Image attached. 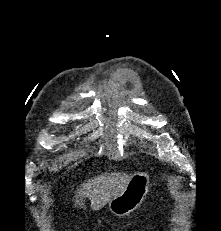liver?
<instances>
[{
  "label": "liver",
  "mask_w": 221,
  "mask_h": 231,
  "mask_svg": "<svg viewBox=\"0 0 221 231\" xmlns=\"http://www.w3.org/2000/svg\"><path fill=\"white\" fill-rule=\"evenodd\" d=\"M131 177V174L113 172L89 180L77 189L75 207L83 208V197H86L91 201L92 210H100L125 190Z\"/></svg>",
  "instance_id": "6515ba94"
}]
</instances>
